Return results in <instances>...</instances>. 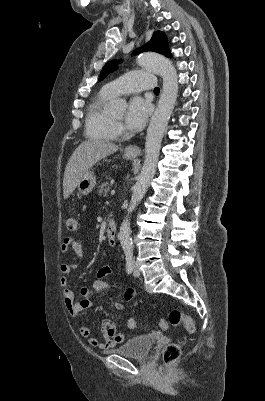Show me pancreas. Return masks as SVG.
<instances>
[{
	"label": "pancreas",
	"mask_w": 265,
	"mask_h": 401,
	"mask_svg": "<svg viewBox=\"0 0 265 401\" xmlns=\"http://www.w3.org/2000/svg\"><path fill=\"white\" fill-rule=\"evenodd\" d=\"M113 184V178H108V180H106V182H101V184H99L98 186V194H104V196H106V194H108L109 190H110V186H112Z\"/></svg>",
	"instance_id": "1"
}]
</instances>
